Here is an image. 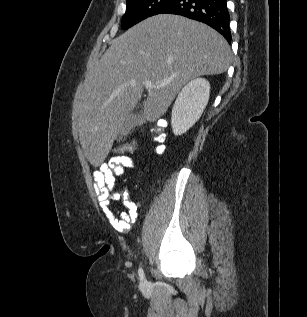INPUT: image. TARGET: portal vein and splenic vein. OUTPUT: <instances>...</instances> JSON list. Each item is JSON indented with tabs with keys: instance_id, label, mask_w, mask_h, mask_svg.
Returning <instances> with one entry per match:
<instances>
[{
	"instance_id": "obj_1",
	"label": "portal vein and splenic vein",
	"mask_w": 307,
	"mask_h": 317,
	"mask_svg": "<svg viewBox=\"0 0 307 317\" xmlns=\"http://www.w3.org/2000/svg\"><path fill=\"white\" fill-rule=\"evenodd\" d=\"M165 84H158V85H155V84H153L151 81H146V82H144V87L146 88V89H158V88H161V87H163Z\"/></svg>"
}]
</instances>
